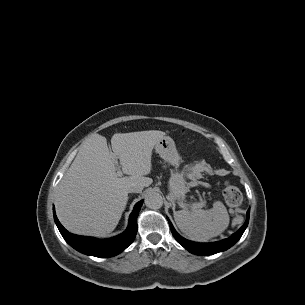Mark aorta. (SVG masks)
Returning a JSON list of instances; mask_svg holds the SVG:
<instances>
[{
    "label": "aorta",
    "instance_id": "aorta-1",
    "mask_svg": "<svg viewBox=\"0 0 305 305\" xmlns=\"http://www.w3.org/2000/svg\"><path fill=\"white\" fill-rule=\"evenodd\" d=\"M144 203L150 209H160L163 205V198L157 192H150L146 195Z\"/></svg>",
    "mask_w": 305,
    "mask_h": 305
}]
</instances>
